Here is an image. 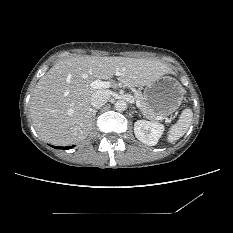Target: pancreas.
I'll return each instance as SVG.
<instances>
[{
    "instance_id": "pancreas-1",
    "label": "pancreas",
    "mask_w": 233,
    "mask_h": 233,
    "mask_svg": "<svg viewBox=\"0 0 233 233\" xmlns=\"http://www.w3.org/2000/svg\"><path fill=\"white\" fill-rule=\"evenodd\" d=\"M134 96L135 100L140 103V110L142 114L150 120H155L158 116L145 102L143 93L140 90H135Z\"/></svg>"
}]
</instances>
